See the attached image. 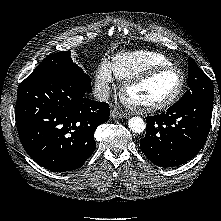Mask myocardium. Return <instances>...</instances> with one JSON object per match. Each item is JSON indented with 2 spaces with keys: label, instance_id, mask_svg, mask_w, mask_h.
Instances as JSON below:
<instances>
[{
  "label": "myocardium",
  "instance_id": "obj_1",
  "mask_svg": "<svg viewBox=\"0 0 221 221\" xmlns=\"http://www.w3.org/2000/svg\"><path fill=\"white\" fill-rule=\"evenodd\" d=\"M164 71H177L181 76L180 85L178 89L174 92V94H172L166 100H163L161 102L154 103V104H147V105L137 104L129 100L127 93L131 87L137 84H140L143 81L147 80L148 78L154 76L155 74H158ZM185 86H186V75L181 68L175 65L155 66V67H151L146 70H143L125 79L120 88V96H121V100L123 101V103L130 109L137 111V112L150 113V112L163 110L171 106L172 104H174L181 97L185 89Z\"/></svg>",
  "mask_w": 221,
  "mask_h": 221
}]
</instances>
